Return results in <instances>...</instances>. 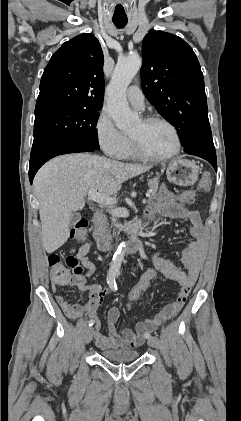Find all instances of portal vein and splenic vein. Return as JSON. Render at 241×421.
Wrapping results in <instances>:
<instances>
[{"label": "portal vein and splenic vein", "mask_w": 241, "mask_h": 421, "mask_svg": "<svg viewBox=\"0 0 241 421\" xmlns=\"http://www.w3.org/2000/svg\"><path fill=\"white\" fill-rule=\"evenodd\" d=\"M146 196L149 197L150 192H147ZM88 199H90L94 202H97L99 204L106 205V206L117 204L116 198H113V197H110V196H107V195H103V194L97 192V190L94 189V188H91L88 191Z\"/></svg>", "instance_id": "1"}]
</instances>
